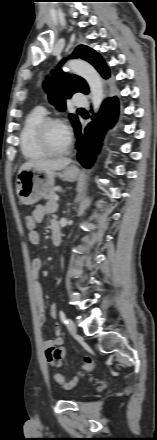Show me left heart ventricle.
I'll list each match as a JSON object with an SVG mask.
<instances>
[{
	"instance_id": "left-heart-ventricle-1",
	"label": "left heart ventricle",
	"mask_w": 157,
	"mask_h": 440,
	"mask_svg": "<svg viewBox=\"0 0 157 440\" xmlns=\"http://www.w3.org/2000/svg\"><path fill=\"white\" fill-rule=\"evenodd\" d=\"M47 141L53 150H62L69 144L62 125L53 124L47 129Z\"/></svg>"
}]
</instances>
